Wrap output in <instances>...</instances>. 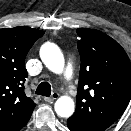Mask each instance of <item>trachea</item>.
<instances>
[{"mask_svg":"<svg viewBox=\"0 0 131 131\" xmlns=\"http://www.w3.org/2000/svg\"><path fill=\"white\" fill-rule=\"evenodd\" d=\"M35 94L49 97L51 95V85L48 82L40 83Z\"/></svg>","mask_w":131,"mask_h":131,"instance_id":"obj_1","label":"trachea"}]
</instances>
